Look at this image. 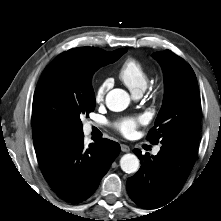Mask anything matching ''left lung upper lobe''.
Here are the masks:
<instances>
[{
    "label": "left lung upper lobe",
    "instance_id": "left-lung-upper-lobe-1",
    "mask_svg": "<svg viewBox=\"0 0 221 221\" xmlns=\"http://www.w3.org/2000/svg\"><path fill=\"white\" fill-rule=\"evenodd\" d=\"M161 64L165 78V97L155 126L147 139L151 143L176 144L197 150L201 120V102L197 79L191 66L173 52L153 54Z\"/></svg>",
    "mask_w": 221,
    "mask_h": 221
}]
</instances>
